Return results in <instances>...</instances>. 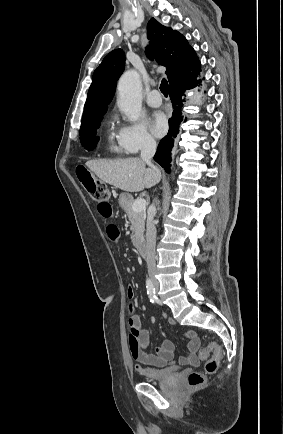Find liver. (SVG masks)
<instances>
[{
    "label": "liver",
    "mask_w": 283,
    "mask_h": 434,
    "mask_svg": "<svg viewBox=\"0 0 283 434\" xmlns=\"http://www.w3.org/2000/svg\"><path fill=\"white\" fill-rule=\"evenodd\" d=\"M86 167L103 182L126 192L149 189L159 182V170L146 168V163L137 157L126 159L89 160Z\"/></svg>",
    "instance_id": "6515ba94"
}]
</instances>
